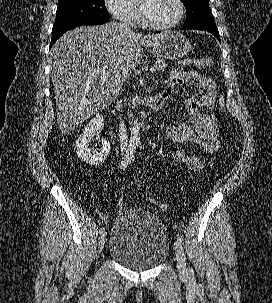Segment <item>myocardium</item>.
I'll use <instances>...</instances> for the list:
<instances>
[{
	"instance_id": "f54148a6",
	"label": "myocardium",
	"mask_w": 272,
	"mask_h": 303,
	"mask_svg": "<svg viewBox=\"0 0 272 303\" xmlns=\"http://www.w3.org/2000/svg\"><path fill=\"white\" fill-rule=\"evenodd\" d=\"M176 3L178 5L177 17L172 22L165 24V25H159V24H155V23L151 22L148 19V17L146 16L144 10L139 6L142 24L149 29L157 30V31H165V30L174 28L181 22V20L184 17V13H185V5H184L183 0H176Z\"/></svg>"
}]
</instances>
